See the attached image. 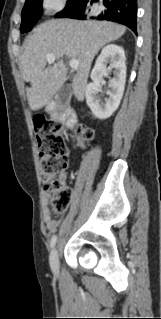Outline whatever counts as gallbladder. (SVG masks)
<instances>
[{"mask_svg":"<svg viewBox=\"0 0 161 319\" xmlns=\"http://www.w3.org/2000/svg\"><path fill=\"white\" fill-rule=\"evenodd\" d=\"M72 94V87L70 85H64L58 93L57 101L60 105L59 111L62 110V108L66 107V104L68 100L70 99V96Z\"/></svg>","mask_w":161,"mask_h":319,"instance_id":"obj_1","label":"gallbladder"}]
</instances>
